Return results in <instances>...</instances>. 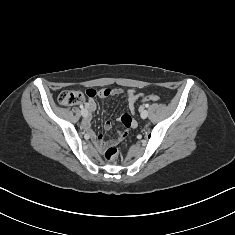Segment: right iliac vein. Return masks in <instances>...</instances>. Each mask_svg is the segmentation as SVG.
<instances>
[{"label": "right iliac vein", "mask_w": 235, "mask_h": 235, "mask_svg": "<svg viewBox=\"0 0 235 235\" xmlns=\"http://www.w3.org/2000/svg\"><path fill=\"white\" fill-rule=\"evenodd\" d=\"M81 114L84 118H87V116H88V113L86 110L81 111Z\"/></svg>", "instance_id": "right-iliac-vein-1"}]
</instances>
